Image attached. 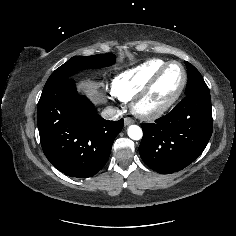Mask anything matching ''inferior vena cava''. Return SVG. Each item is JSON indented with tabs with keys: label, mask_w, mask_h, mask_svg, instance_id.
I'll return each mask as SVG.
<instances>
[{
	"label": "inferior vena cava",
	"mask_w": 236,
	"mask_h": 236,
	"mask_svg": "<svg viewBox=\"0 0 236 236\" xmlns=\"http://www.w3.org/2000/svg\"><path fill=\"white\" fill-rule=\"evenodd\" d=\"M120 115H121L120 110L112 106L106 107L101 113V116L104 119H108V120H117L120 117Z\"/></svg>",
	"instance_id": "inferior-vena-cava-1"
}]
</instances>
